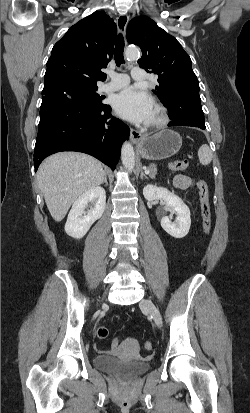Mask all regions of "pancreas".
Returning <instances> with one entry per match:
<instances>
[{
    "mask_svg": "<svg viewBox=\"0 0 250 413\" xmlns=\"http://www.w3.org/2000/svg\"><path fill=\"white\" fill-rule=\"evenodd\" d=\"M171 169H174L173 167ZM148 170H149V176L151 178H155L156 174H157V166L155 164H150L148 166Z\"/></svg>",
    "mask_w": 250,
    "mask_h": 413,
    "instance_id": "cf45deb5",
    "label": "pancreas"
}]
</instances>
